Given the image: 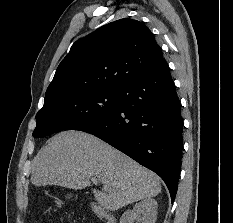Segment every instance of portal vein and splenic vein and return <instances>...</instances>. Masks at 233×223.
<instances>
[{
  "mask_svg": "<svg viewBox=\"0 0 233 223\" xmlns=\"http://www.w3.org/2000/svg\"><path fill=\"white\" fill-rule=\"evenodd\" d=\"M91 181H92V183H98L97 177H91Z\"/></svg>",
  "mask_w": 233,
  "mask_h": 223,
  "instance_id": "obj_1",
  "label": "portal vein and splenic vein"
}]
</instances>
